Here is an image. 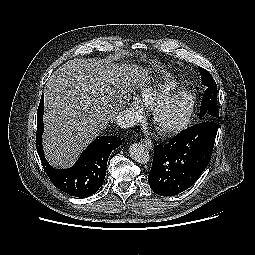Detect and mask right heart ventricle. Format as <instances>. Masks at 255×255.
Returning <instances> with one entry per match:
<instances>
[{"instance_id": "1", "label": "right heart ventricle", "mask_w": 255, "mask_h": 255, "mask_svg": "<svg viewBox=\"0 0 255 255\" xmlns=\"http://www.w3.org/2000/svg\"><path fill=\"white\" fill-rule=\"evenodd\" d=\"M180 88L181 85L176 81H163L142 89L137 96V102L144 108L154 109L171 98Z\"/></svg>"}]
</instances>
